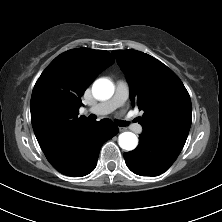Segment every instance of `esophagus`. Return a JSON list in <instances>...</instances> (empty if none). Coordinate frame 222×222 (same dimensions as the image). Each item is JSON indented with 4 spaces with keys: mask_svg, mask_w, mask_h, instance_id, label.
<instances>
[{
    "mask_svg": "<svg viewBox=\"0 0 222 222\" xmlns=\"http://www.w3.org/2000/svg\"><path fill=\"white\" fill-rule=\"evenodd\" d=\"M118 129H119V131H120V132H123V131H125V130H126V128H125V127H119Z\"/></svg>",
    "mask_w": 222,
    "mask_h": 222,
    "instance_id": "esophagus-1",
    "label": "esophagus"
}]
</instances>
